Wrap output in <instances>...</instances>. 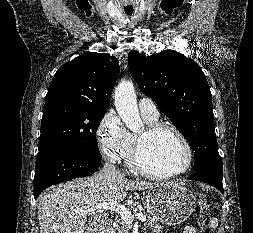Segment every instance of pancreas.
Masks as SVG:
<instances>
[{
    "instance_id": "cf45deb5",
    "label": "pancreas",
    "mask_w": 253,
    "mask_h": 233,
    "mask_svg": "<svg viewBox=\"0 0 253 233\" xmlns=\"http://www.w3.org/2000/svg\"><path fill=\"white\" fill-rule=\"evenodd\" d=\"M134 211L136 212L137 209H135ZM142 214L147 216V220L145 222L146 228L151 230L152 233H161L162 232V227H161L160 223H157L156 221L152 220L151 217L149 215H146L145 212H143ZM112 230H113V233H129L127 224L121 217L115 221V223L112 227Z\"/></svg>"
}]
</instances>
